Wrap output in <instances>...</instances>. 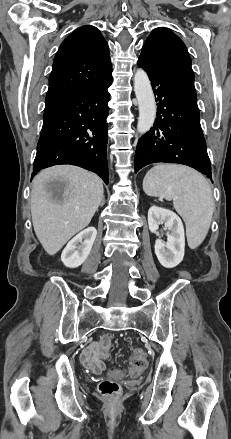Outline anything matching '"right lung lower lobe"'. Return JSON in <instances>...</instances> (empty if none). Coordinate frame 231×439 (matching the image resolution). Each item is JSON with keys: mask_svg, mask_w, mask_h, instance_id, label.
Wrapping results in <instances>:
<instances>
[{"mask_svg": "<svg viewBox=\"0 0 231 439\" xmlns=\"http://www.w3.org/2000/svg\"><path fill=\"white\" fill-rule=\"evenodd\" d=\"M111 84L112 77L44 110L31 179L44 168L70 164L98 174L108 184L106 117Z\"/></svg>", "mask_w": 231, "mask_h": 439, "instance_id": "obj_1", "label": "right lung lower lobe"}]
</instances>
